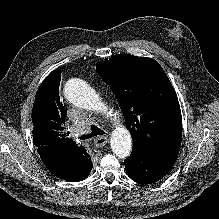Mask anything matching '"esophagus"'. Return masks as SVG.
Listing matches in <instances>:
<instances>
[{
	"instance_id": "obj_1",
	"label": "esophagus",
	"mask_w": 219,
	"mask_h": 219,
	"mask_svg": "<svg viewBox=\"0 0 219 219\" xmlns=\"http://www.w3.org/2000/svg\"><path fill=\"white\" fill-rule=\"evenodd\" d=\"M108 141H109L108 136H98L94 140V145L97 148H101V147L105 146L108 143Z\"/></svg>"
}]
</instances>
